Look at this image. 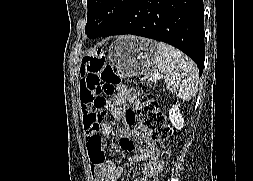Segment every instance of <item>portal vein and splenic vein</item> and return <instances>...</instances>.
<instances>
[{
  "label": "portal vein and splenic vein",
  "instance_id": "1",
  "mask_svg": "<svg viewBox=\"0 0 253 181\" xmlns=\"http://www.w3.org/2000/svg\"><path fill=\"white\" fill-rule=\"evenodd\" d=\"M157 79H158V75L157 74L150 75V80L151 81H156Z\"/></svg>",
  "mask_w": 253,
  "mask_h": 181
}]
</instances>
